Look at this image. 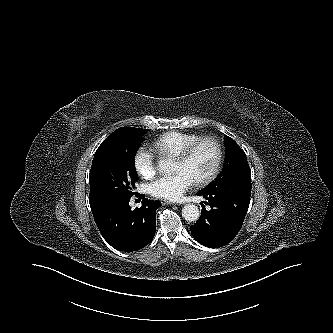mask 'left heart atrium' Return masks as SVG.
<instances>
[{
    "mask_svg": "<svg viewBox=\"0 0 333 333\" xmlns=\"http://www.w3.org/2000/svg\"><path fill=\"white\" fill-rule=\"evenodd\" d=\"M194 179L185 171H178L172 175H162L155 178L149 185V192L162 199L180 200L194 185Z\"/></svg>",
    "mask_w": 333,
    "mask_h": 333,
    "instance_id": "obj_1",
    "label": "left heart atrium"
}]
</instances>
